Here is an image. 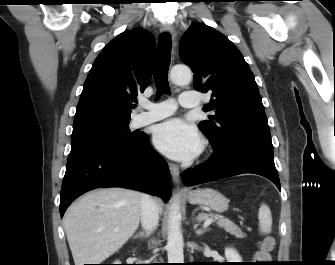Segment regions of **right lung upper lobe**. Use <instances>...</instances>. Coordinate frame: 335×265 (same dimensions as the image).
Listing matches in <instances>:
<instances>
[{
    "instance_id": "right-lung-upper-lobe-1",
    "label": "right lung upper lobe",
    "mask_w": 335,
    "mask_h": 265,
    "mask_svg": "<svg viewBox=\"0 0 335 265\" xmlns=\"http://www.w3.org/2000/svg\"><path fill=\"white\" fill-rule=\"evenodd\" d=\"M155 43L143 29L119 34L95 59L77 104L73 127L130 121L137 95L151 81Z\"/></svg>"
}]
</instances>
